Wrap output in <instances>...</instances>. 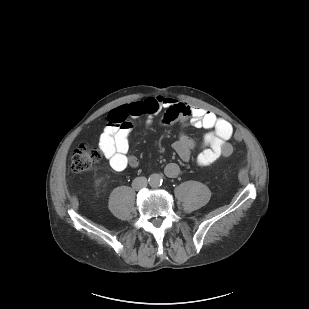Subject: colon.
Returning <instances> with one entry per match:
<instances>
[{
  "instance_id": "5ec220e1",
  "label": "colon",
  "mask_w": 309,
  "mask_h": 309,
  "mask_svg": "<svg viewBox=\"0 0 309 309\" xmlns=\"http://www.w3.org/2000/svg\"><path fill=\"white\" fill-rule=\"evenodd\" d=\"M236 140L241 139L239 133H235ZM100 152L86 144L79 145L71 156V170L74 173H84L94 168L95 164L100 160Z\"/></svg>"
}]
</instances>
